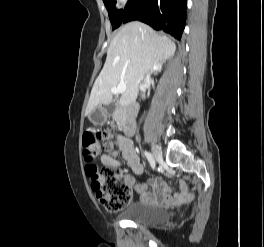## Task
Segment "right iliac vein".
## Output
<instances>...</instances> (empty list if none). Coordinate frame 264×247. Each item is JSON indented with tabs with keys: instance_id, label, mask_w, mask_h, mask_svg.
<instances>
[{
	"instance_id": "1",
	"label": "right iliac vein",
	"mask_w": 264,
	"mask_h": 247,
	"mask_svg": "<svg viewBox=\"0 0 264 247\" xmlns=\"http://www.w3.org/2000/svg\"><path fill=\"white\" fill-rule=\"evenodd\" d=\"M152 154L156 161H160L162 159V152L158 145H152Z\"/></svg>"
}]
</instances>
